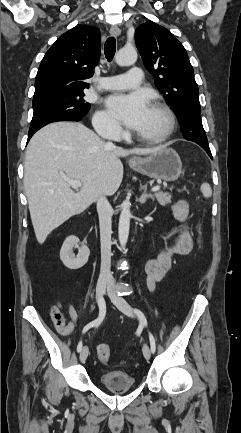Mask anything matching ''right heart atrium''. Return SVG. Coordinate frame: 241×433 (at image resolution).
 Wrapping results in <instances>:
<instances>
[{
  "label": "right heart atrium",
  "mask_w": 241,
  "mask_h": 433,
  "mask_svg": "<svg viewBox=\"0 0 241 433\" xmlns=\"http://www.w3.org/2000/svg\"><path fill=\"white\" fill-rule=\"evenodd\" d=\"M93 125L95 130L100 134L117 137L122 133L120 124L106 111H98L95 113Z\"/></svg>",
  "instance_id": "obj_1"
}]
</instances>
